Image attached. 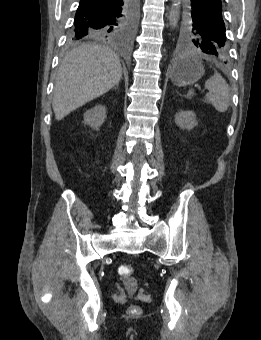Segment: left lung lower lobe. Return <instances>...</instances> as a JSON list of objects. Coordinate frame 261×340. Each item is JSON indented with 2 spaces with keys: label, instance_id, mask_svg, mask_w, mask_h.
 <instances>
[{
  "label": "left lung lower lobe",
  "instance_id": "left-lung-lower-lobe-1",
  "mask_svg": "<svg viewBox=\"0 0 261 340\" xmlns=\"http://www.w3.org/2000/svg\"><path fill=\"white\" fill-rule=\"evenodd\" d=\"M189 4L195 14L205 18L223 12L221 0H189Z\"/></svg>",
  "mask_w": 261,
  "mask_h": 340
}]
</instances>
